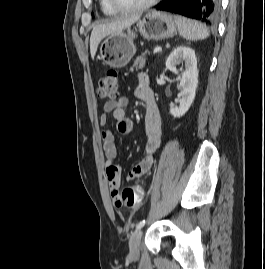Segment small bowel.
<instances>
[{"label":"small bowel","instance_id":"1","mask_svg":"<svg viewBox=\"0 0 265 269\" xmlns=\"http://www.w3.org/2000/svg\"><path fill=\"white\" fill-rule=\"evenodd\" d=\"M135 96L145 104L146 112L144 129L147 137L139 162L132 168L128 175L129 180H134L146 174L152 167L155 152L159 149L162 141V122L153 90L149 86L146 76L140 77V83L135 90ZM127 99L125 97L116 100L106 101L103 105V113L99 117V124L105 127L108 124L109 113L113 114L117 121V131L127 135L132 131V121L126 117L125 109ZM103 151L106 157L105 174L109 184L113 202L120 206L118 201V189L121 184V169L115 164L117 147L112 131H102Z\"/></svg>","mask_w":265,"mask_h":269}]
</instances>
